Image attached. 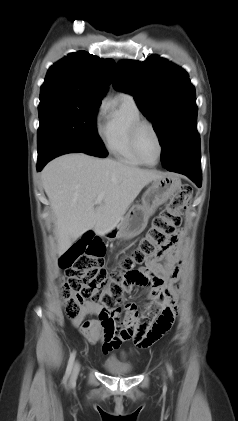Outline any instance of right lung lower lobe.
I'll return each mask as SVG.
<instances>
[{"instance_id":"right-lung-lower-lobe-1","label":"right lung lower lobe","mask_w":238,"mask_h":421,"mask_svg":"<svg viewBox=\"0 0 238 421\" xmlns=\"http://www.w3.org/2000/svg\"><path fill=\"white\" fill-rule=\"evenodd\" d=\"M79 152L82 151L74 145L60 139H53L46 143L42 149L38 150L37 170L40 171L50 160L57 156Z\"/></svg>"}]
</instances>
